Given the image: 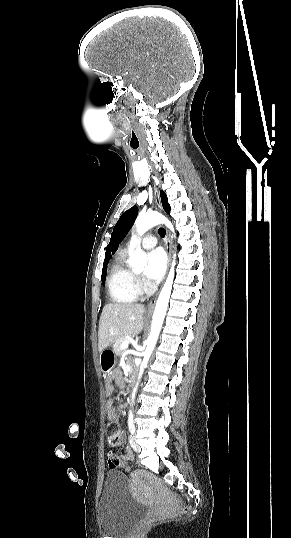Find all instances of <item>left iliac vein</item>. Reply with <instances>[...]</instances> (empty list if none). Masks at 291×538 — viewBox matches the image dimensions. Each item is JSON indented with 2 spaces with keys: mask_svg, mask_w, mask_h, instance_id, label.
Returning <instances> with one entry per match:
<instances>
[{
  "mask_svg": "<svg viewBox=\"0 0 291 538\" xmlns=\"http://www.w3.org/2000/svg\"><path fill=\"white\" fill-rule=\"evenodd\" d=\"M129 441H130V445L133 448V450L136 451V452H140L141 448H140L139 444L136 442L135 437L130 436Z\"/></svg>",
  "mask_w": 291,
  "mask_h": 538,
  "instance_id": "1",
  "label": "left iliac vein"
}]
</instances>
